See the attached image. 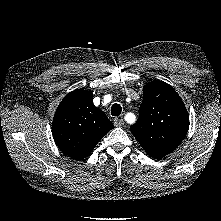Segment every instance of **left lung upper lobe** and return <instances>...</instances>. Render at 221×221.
Here are the masks:
<instances>
[{"instance_id":"obj_1","label":"left lung upper lobe","mask_w":221,"mask_h":221,"mask_svg":"<svg viewBox=\"0 0 221 221\" xmlns=\"http://www.w3.org/2000/svg\"><path fill=\"white\" fill-rule=\"evenodd\" d=\"M188 128L189 115L177 92L162 81L147 83L139 118L130 127L145 152L153 158L165 157L179 146Z\"/></svg>"}]
</instances>
